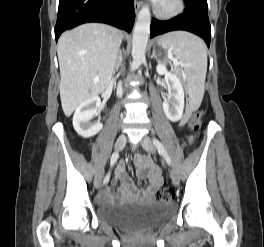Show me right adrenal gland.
Wrapping results in <instances>:
<instances>
[{
  "label": "right adrenal gland",
  "instance_id": "right-adrenal-gland-1",
  "mask_svg": "<svg viewBox=\"0 0 264 247\" xmlns=\"http://www.w3.org/2000/svg\"><path fill=\"white\" fill-rule=\"evenodd\" d=\"M121 59H122V55H121V52H120L119 58H118V62L116 64V70H118L119 64L121 63Z\"/></svg>",
  "mask_w": 264,
  "mask_h": 247
}]
</instances>
